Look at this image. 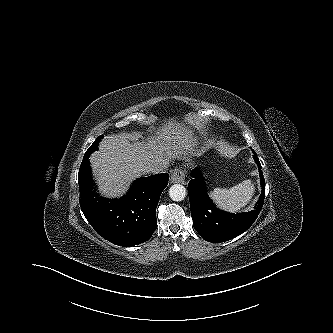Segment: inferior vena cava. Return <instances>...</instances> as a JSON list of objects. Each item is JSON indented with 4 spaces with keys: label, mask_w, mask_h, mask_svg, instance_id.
Returning a JSON list of instances; mask_svg holds the SVG:
<instances>
[{
    "label": "inferior vena cava",
    "mask_w": 333,
    "mask_h": 333,
    "mask_svg": "<svg viewBox=\"0 0 333 333\" xmlns=\"http://www.w3.org/2000/svg\"><path fill=\"white\" fill-rule=\"evenodd\" d=\"M168 164L166 162H152L149 163L148 165H146L145 167V171L147 173H151V174H159V173H163L164 171H166V169L168 168Z\"/></svg>",
    "instance_id": "1"
}]
</instances>
